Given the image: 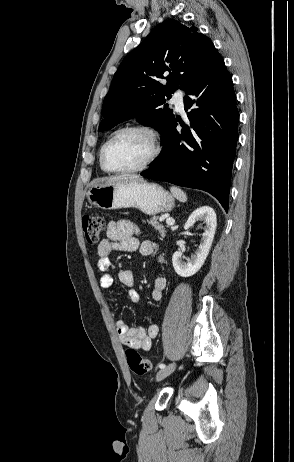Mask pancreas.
Wrapping results in <instances>:
<instances>
[{"instance_id": "1", "label": "pancreas", "mask_w": 294, "mask_h": 462, "mask_svg": "<svg viewBox=\"0 0 294 462\" xmlns=\"http://www.w3.org/2000/svg\"><path fill=\"white\" fill-rule=\"evenodd\" d=\"M147 222L154 226L155 230H157L162 237H164L167 233V231L164 229V226L158 222V217H152L150 220H147Z\"/></svg>"}]
</instances>
